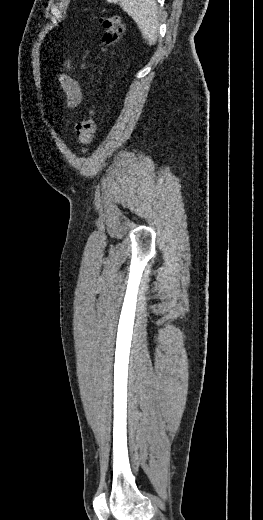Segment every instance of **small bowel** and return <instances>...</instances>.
<instances>
[{
    "mask_svg": "<svg viewBox=\"0 0 263 520\" xmlns=\"http://www.w3.org/2000/svg\"><path fill=\"white\" fill-rule=\"evenodd\" d=\"M59 82L65 94L66 104L71 108L77 107L82 100L81 89L78 82L67 74L60 75Z\"/></svg>",
    "mask_w": 263,
    "mask_h": 520,
    "instance_id": "c3829d8e",
    "label": "small bowel"
}]
</instances>
